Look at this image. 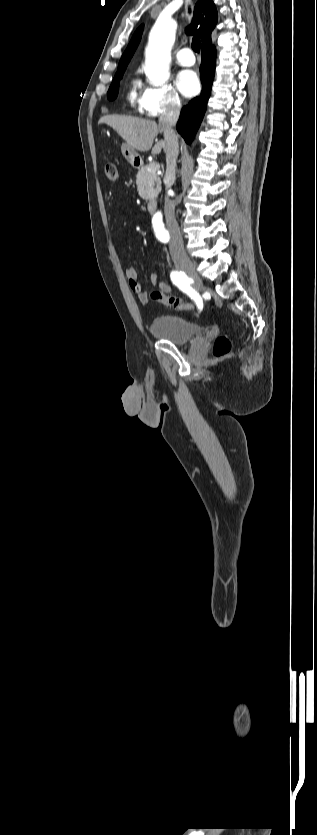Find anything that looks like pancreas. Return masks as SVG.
I'll list each match as a JSON object with an SVG mask.
<instances>
[{"mask_svg": "<svg viewBox=\"0 0 317 835\" xmlns=\"http://www.w3.org/2000/svg\"><path fill=\"white\" fill-rule=\"evenodd\" d=\"M149 165L142 166L136 175L137 190L143 199L154 201L161 191V180L155 171H148Z\"/></svg>", "mask_w": 317, "mask_h": 835, "instance_id": "1", "label": "pancreas"}]
</instances>
